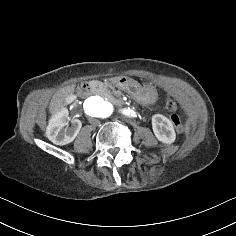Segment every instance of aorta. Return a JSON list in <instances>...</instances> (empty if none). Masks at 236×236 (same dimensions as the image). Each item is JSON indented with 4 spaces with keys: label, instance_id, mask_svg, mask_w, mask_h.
<instances>
[{
    "label": "aorta",
    "instance_id": "aorta-1",
    "mask_svg": "<svg viewBox=\"0 0 236 236\" xmlns=\"http://www.w3.org/2000/svg\"><path fill=\"white\" fill-rule=\"evenodd\" d=\"M83 109L88 118H107L112 115L114 106L99 96H91L84 101ZM122 112L128 117H136V112L130 108Z\"/></svg>",
    "mask_w": 236,
    "mask_h": 236
}]
</instances>
